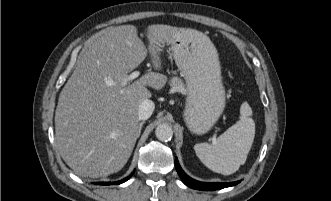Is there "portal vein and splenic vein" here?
I'll list each match as a JSON object with an SVG mask.
<instances>
[{"label": "portal vein and splenic vein", "mask_w": 331, "mask_h": 201, "mask_svg": "<svg viewBox=\"0 0 331 201\" xmlns=\"http://www.w3.org/2000/svg\"><path fill=\"white\" fill-rule=\"evenodd\" d=\"M139 74L140 73L138 71H134L133 73L128 75L127 78L124 79L123 85H126L129 81H132L135 78H137L139 76ZM213 141H215V139Z\"/></svg>", "instance_id": "18ae733b"}]
</instances>
